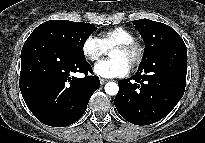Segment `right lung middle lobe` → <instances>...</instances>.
<instances>
[{
  "label": "right lung middle lobe",
  "mask_w": 205,
  "mask_h": 143,
  "mask_svg": "<svg viewBox=\"0 0 205 143\" xmlns=\"http://www.w3.org/2000/svg\"><path fill=\"white\" fill-rule=\"evenodd\" d=\"M96 29L97 27L89 23L50 20L34 29L30 36L48 39L62 46L68 52L85 58L83 54L84 42Z\"/></svg>",
  "instance_id": "dd1d6c3e"
}]
</instances>
